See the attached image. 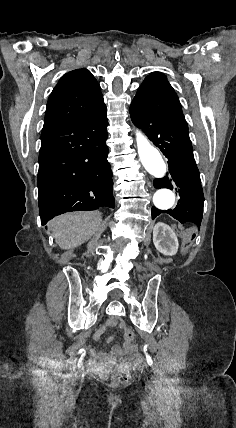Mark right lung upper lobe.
<instances>
[{
	"mask_svg": "<svg viewBox=\"0 0 236 428\" xmlns=\"http://www.w3.org/2000/svg\"><path fill=\"white\" fill-rule=\"evenodd\" d=\"M106 110L100 85L86 69L65 74L53 89L46 109L44 129L89 119Z\"/></svg>",
	"mask_w": 236,
	"mask_h": 428,
	"instance_id": "1",
	"label": "right lung upper lobe"
}]
</instances>
